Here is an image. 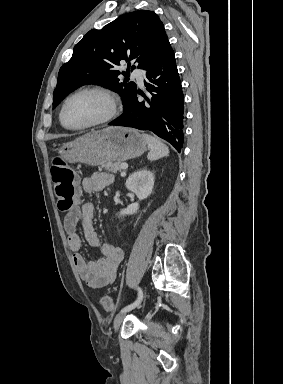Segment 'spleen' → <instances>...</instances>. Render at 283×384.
Wrapping results in <instances>:
<instances>
[{
	"label": "spleen",
	"mask_w": 283,
	"mask_h": 384,
	"mask_svg": "<svg viewBox=\"0 0 283 384\" xmlns=\"http://www.w3.org/2000/svg\"><path fill=\"white\" fill-rule=\"evenodd\" d=\"M142 138H144L148 144V160L153 162V160H159V158L168 156L169 150L165 144H162L161 140H158V138H153V136H148V134H142Z\"/></svg>",
	"instance_id": "3e777b00"
}]
</instances>
